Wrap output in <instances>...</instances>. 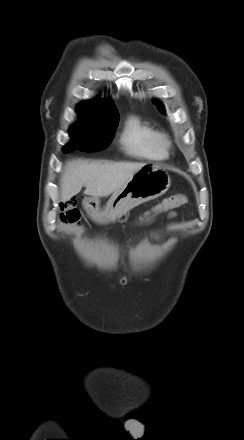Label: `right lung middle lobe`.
I'll return each instance as SVG.
<instances>
[{
	"instance_id": "1",
	"label": "right lung middle lobe",
	"mask_w": 244,
	"mask_h": 440,
	"mask_svg": "<svg viewBox=\"0 0 244 440\" xmlns=\"http://www.w3.org/2000/svg\"><path fill=\"white\" fill-rule=\"evenodd\" d=\"M118 122L108 126L78 122L69 128L71 142L64 147L65 153L79 149L84 152L101 151L112 142Z\"/></svg>"
}]
</instances>
